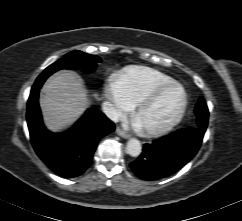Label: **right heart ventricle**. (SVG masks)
<instances>
[{"mask_svg":"<svg viewBox=\"0 0 242 221\" xmlns=\"http://www.w3.org/2000/svg\"><path fill=\"white\" fill-rule=\"evenodd\" d=\"M128 102L135 106L156 88L174 82L169 76L148 68H130L115 79Z\"/></svg>","mask_w":242,"mask_h":221,"instance_id":"obj_1","label":"right heart ventricle"}]
</instances>
